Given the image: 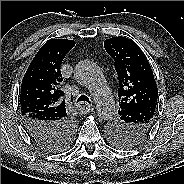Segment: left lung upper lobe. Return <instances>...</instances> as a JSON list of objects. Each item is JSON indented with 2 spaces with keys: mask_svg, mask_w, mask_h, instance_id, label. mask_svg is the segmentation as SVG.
<instances>
[{
  "mask_svg": "<svg viewBox=\"0 0 184 184\" xmlns=\"http://www.w3.org/2000/svg\"><path fill=\"white\" fill-rule=\"evenodd\" d=\"M104 47L114 59L119 79V116L109 125L108 134L116 146L129 148L150 131L158 89L147 58L134 41L113 37L104 41Z\"/></svg>",
  "mask_w": 184,
  "mask_h": 184,
  "instance_id": "obj_1",
  "label": "left lung upper lobe"
}]
</instances>
